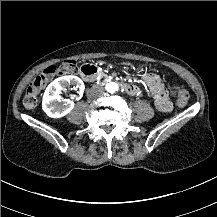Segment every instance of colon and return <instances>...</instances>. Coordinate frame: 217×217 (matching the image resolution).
I'll return each mask as SVG.
<instances>
[{
	"instance_id": "1",
	"label": "colon",
	"mask_w": 217,
	"mask_h": 217,
	"mask_svg": "<svg viewBox=\"0 0 217 217\" xmlns=\"http://www.w3.org/2000/svg\"><path fill=\"white\" fill-rule=\"evenodd\" d=\"M78 71V63L75 60L62 61L57 67H45L40 74L34 77L23 97V105L27 109L37 106L38 94L42 88H49L55 80L64 79L67 74H75ZM171 91L177 98V105L185 106L189 100V91L180 83H173Z\"/></svg>"
}]
</instances>
